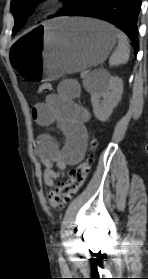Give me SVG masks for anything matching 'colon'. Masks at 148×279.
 Here are the masks:
<instances>
[{
    "label": "colon",
    "instance_id": "colon-1",
    "mask_svg": "<svg viewBox=\"0 0 148 279\" xmlns=\"http://www.w3.org/2000/svg\"><path fill=\"white\" fill-rule=\"evenodd\" d=\"M51 91L52 85L50 83L45 82L38 87L39 93H48ZM95 148L96 141L93 140L90 144V151L85 158L78 165L71 167L67 171L66 181L51 189L48 199L54 209H61L82 188L93 164V151Z\"/></svg>",
    "mask_w": 148,
    "mask_h": 279
}]
</instances>
